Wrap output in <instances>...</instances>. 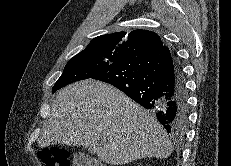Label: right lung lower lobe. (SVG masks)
Returning a JSON list of instances; mask_svg holds the SVG:
<instances>
[{
  "label": "right lung lower lobe",
  "instance_id": "1",
  "mask_svg": "<svg viewBox=\"0 0 231 166\" xmlns=\"http://www.w3.org/2000/svg\"><path fill=\"white\" fill-rule=\"evenodd\" d=\"M91 78L115 86L152 111L169 134H184L188 123L184 76L167 46L116 62Z\"/></svg>",
  "mask_w": 231,
  "mask_h": 166
}]
</instances>
